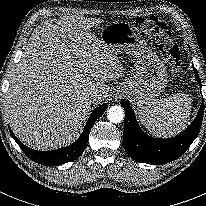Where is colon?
Segmentation results:
<instances>
[{
	"label": "colon",
	"instance_id": "1",
	"mask_svg": "<svg viewBox=\"0 0 206 206\" xmlns=\"http://www.w3.org/2000/svg\"><path fill=\"white\" fill-rule=\"evenodd\" d=\"M134 28L141 35H148L156 40L159 51L171 72L178 75L181 72L180 51L173 42L168 21L158 16L138 17Z\"/></svg>",
	"mask_w": 206,
	"mask_h": 206
}]
</instances>
